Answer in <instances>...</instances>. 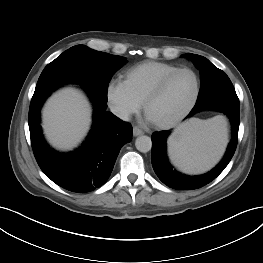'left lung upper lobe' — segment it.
<instances>
[{
  "label": "left lung upper lobe",
  "mask_w": 263,
  "mask_h": 263,
  "mask_svg": "<svg viewBox=\"0 0 263 263\" xmlns=\"http://www.w3.org/2000/svg\"><path fill=\"white\" fill-rule=\"evenodd\" d=\"M185 56L191 59L201 72V88L197 100L204 99L217 92L235 91L228 76L208 59L191 53H187Z\"/></svg>",
  "instance_id": "5c2ea615"
}]
</instances>
